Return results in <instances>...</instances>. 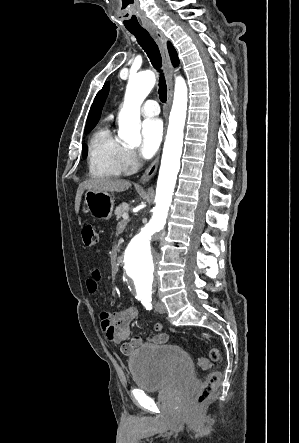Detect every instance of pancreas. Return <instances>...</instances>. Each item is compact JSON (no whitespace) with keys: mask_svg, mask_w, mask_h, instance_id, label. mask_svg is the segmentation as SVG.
I'll return each instance as SVG.
<instances>
[{"mask_svg":"<svg viewBox=\"0 0 299 443\" xmlns=\"http://www.w3.org/2000/svg\"><path fill=\"white\" fill-rule=\"evenodd\" d=\"M129 211V205L127 203H122L120 204L116 209H115V216L116 219L119 220L124 213H128Z\"/></svg>","mask_w":299,"mask_h":443,"instance_id":"1","label":"pancreas"}]
</instances>
